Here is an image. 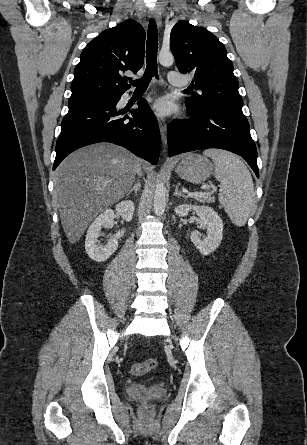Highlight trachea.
Instances as JSON below:
<instances>
[{
  "mask_svg": "<svg viewBox=\"0 0 307 445\" xmlns=\"http://www.w3.org/2000/svg\"><path fill=\"white\" fill-rule=\"evenodd\" d=\"M157 51H158V32L154 21H150L148 27V38L146 44V70L144 75L138 80H132L131 85L136 89H146L151 82L152 77L159 78L157 74Z\"/></svg>",
  "mask_w": 307,
  "mask_h": 445,
  "instance_id": "trachea-1",
  "label": "trachea"
}]
</instances>
